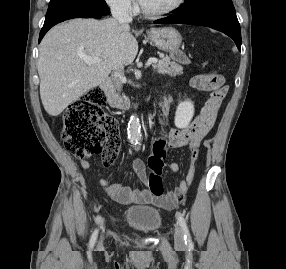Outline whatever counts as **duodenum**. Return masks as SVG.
<instances>
[{
    "label": "duodenum",
    "instance_id": "1",
    "mask_svg": "<svg viewBox=\"0 0 286 269\" xmlns=\"http://www.w3.org/2000/svg\"><path fill=\"white\" fill-rule=\"evenodd\" d=\"M101 89L104 93L108 105L111 108L125 109L129 107V102L116 93L114 85L110 79L102 81Z\"/></svg>",
    "mask_w": 286,
    "mask_h": 269
}]
</instances>
